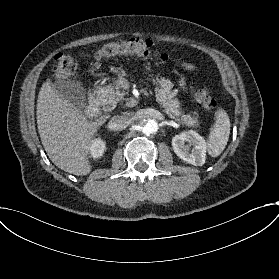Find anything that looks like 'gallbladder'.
Wrapping results in <instances>:
<instances>
[{
  "label": "gallbladder",
  "mask_w": 279,
  "mask_h": 279,
  "mask_svg": "<svg viewBox=\"0 0 279 279\" xmlns=\"http://www.w3.org/2000/svg\"><path fill=\"white\" fill-rule=\"evenodd\" d=\"M53 87L58 94L78 109H84L87 106L86 89L80 81L68 77L58 78Z\"/></svg>",
  "instance_id": "gallbladder-1"
}]
</instances>
